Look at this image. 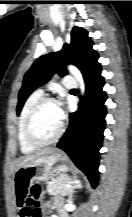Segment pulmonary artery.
I'll return each instance as SVG.
<instances>
[{
	"instance_id": "pulmonary-artery-1",
	"label": "pulmonary artery",
	"mask_w": 132,
	"mask_h": 217,
	"mask_svg": "<svg viewBox=\"0 0 132 217\" xmlns=\"http://www.w3.org/2000/svg\"><path fill=\"white\" fill-rule=\"evenodd\" d=\"M64 86L67 88H74L76 86L74 80L72 78H65L63 81ZM43 92V89H40Z\"/></svg>"
}]
</instances>
